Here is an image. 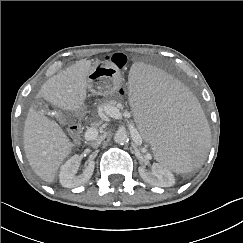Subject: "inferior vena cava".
Instances as JSON below:
<instances>
[{"label": "inferior vena cava", "mask_w": 243, "mask_h": 243, "mask_svg": "<svg viewBox=\"0 0 243 243\" xmlns=\"http://www.w3.org/2000/svg\"><path fill=\"white\" fill-rule=\"evenodd\" d=\"M96 136H97V134L93 138L89 139V140H94L92 142V147H94V148H97L101 144V142L103 141V138H101V137L96 138Z\"/></svg>", "instance_id": "602c4592"}]
</instances>
